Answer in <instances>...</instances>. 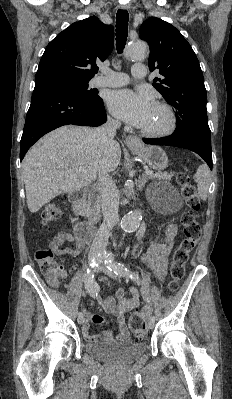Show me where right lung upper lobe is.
I'll list each match as a JSON object with an SVG mask.
<instances>
[{
  "label": "right lung upper lobe",
  "mask_w": 232,
  "mask_h": 399,
  "mask_svg": "<svg viewBox=\"0 0 232 399\" xmlns=\"http://www.w3.org/2000/svg\"><path fill=\"white\" fill-rule=\"evenodd\" d=\"M114 46L112 25L96 16L71 24L46 47L35 82L60 78L91 79L96 61H104Z\"/></svg>",
  "instance_id": "1"
}]
</instances>
